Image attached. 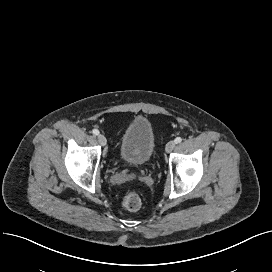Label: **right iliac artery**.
Returning <instances> with one entry per match:
<instances>
[{
    "label": "right iliac artery",
    "instance_id": "82829eb1",
    "mask_svg": "<svg viewBox=\"0 0 272 272\" xmlns=\"http://www.w3.org/2000/svg\"><path fill=\"white\" fill-rule=\"evenodd\" d=\"M92 133H93L94 135H98V134H99V131H98L97 129H93V130H92Z\"/></svg>",
    "mask_w": 272,
    "mask_h": 272
}]
</instances>
